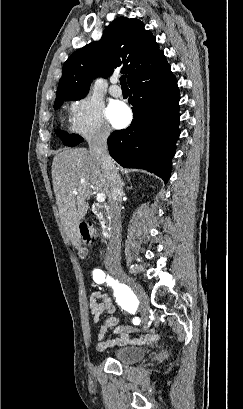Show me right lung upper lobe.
<instances>
[{"label":"right lung upper lobe","instance_id":"obj_1","mask_svg":"<svg viewBox=\"0 0 243 409\" xmlns=\"http://www.w3.org/2000/svg\"><path fill=\"white\" fill-rule=\"evenodd\" d=\"M169 66L153 34L138 19L119 17L99 42L75 51L63 65L55 103L83 98L94 76L107 78L121 67L129 86ZM54 103V104H55Z\"/></svg>","mask_w":243,"mask_h":409}]
</instances>
